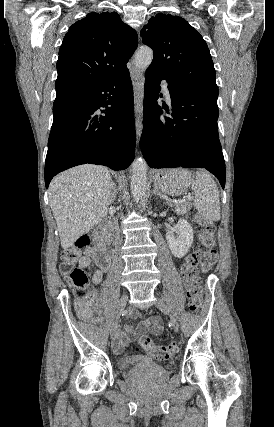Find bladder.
I'll return each mask as SVG.
<instances>
[{"mask_svg": "<svg viewBox=\"0 0 274 427\" xmlns=\"http://www.w3.org/2000/svg\"><path fill=\"white\" fill-rule=\"evenodd\" d=\"M141 360V356L136 355L132 358H120L118 359V367L122 372H125L128 369L138 368L139 365L137 361ZM152 366H157L155 362H151Z\"/></svg>", "mask_w": 274, "mask_h": 427, "instance_id": "31cf9c89", "label": "bladder"}]
</instances>
